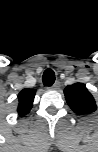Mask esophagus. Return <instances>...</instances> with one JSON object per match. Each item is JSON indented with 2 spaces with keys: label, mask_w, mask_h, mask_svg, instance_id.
<instances>
[{
  "label": "esophagus",
  "mask_w": 98,
  "mask_h": 152,
  "mask_svg": "<svg viewBox=\"0 0 98 152\" xmlns=\"http://www.w3.org/2000/svg\"><path fill=\"white\" fill-rule=\"evenodd\" d=\"M60 82L56 81L51 87H49V89L51 90H58L60 88Z\"/></svg>",
  "instance_id": "esophagus-1"
}]
</instances>
